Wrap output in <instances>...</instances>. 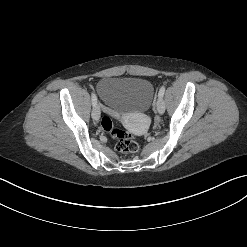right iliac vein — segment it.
Here are the masks:
<instances>
[{"label": "right iliac vein", "instance_id": "63e3f726", "mask_svg": "<svg viewBox=\"0 0 247 247\" xmlns=\"http://www.w3.org/2000/svg\"><path fill=\"white\" fill-rule=\"evenodd\" d=\"M92 118L95 121H98L100 119V108L97 105H95V107L92 110Z\"/></svg>", "mask_w": 247, "mask_h": 247}]
</instances>
